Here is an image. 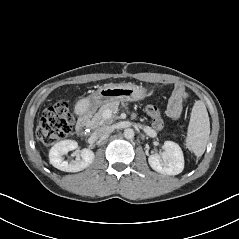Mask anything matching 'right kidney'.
I'll use <instances>...</instances> for the list:
<instances>
[{
    "instance_id": "right-kidney-1",
    "label": "right kidney",
    "mask_w": 239,
    "mask_h": 239,
    "mask_svg": "<svg viewBox=\"0 0 239 239\" xmlns=\"http://www.w3.org/2000/svg\"><path fill=\"white\" fill-rule=\"evenodd\" d=\"M78 148V143L73 140H64L56 143L49 152L50 163L57 169L65 172H79L87 168L94 160V153L90 149L79 151L80 157L75 162H68L63 155Z\"/></svg>"
}]
</instances>
